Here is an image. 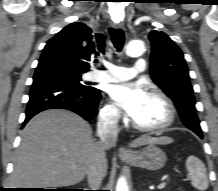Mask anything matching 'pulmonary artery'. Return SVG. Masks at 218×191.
<instances>
[{
    "mask_svg": "<svg viewBox=\"0 0 218 191\" xmlns=\"http://www.w3.org/2000/svg\"><path fill=\"white\" fill-rule=\"evenodd\" d=\"M145 68V59L138 58L133 68L108 64L107 70L105 71L90 72L88 74V79L91 81L106 83L121 82L135 77L138 73L144 71Z\"/></svg>",
    "mask_w": 218,
    "mask_h": 191,
    "instance_id": "e3ab8cb5",
    "label": "pulmonary artery"
}]
</instances>
